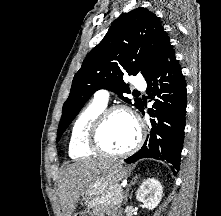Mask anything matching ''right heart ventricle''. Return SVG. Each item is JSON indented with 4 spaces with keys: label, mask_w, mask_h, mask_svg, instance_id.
Returning <instances> with one entry per match:
<instances>
[{
    "label": "right heart ventricle",
    "mask_w": 221,
    "mask_h": 216,
    "mask_svg": "<svg viewBox=\"0 0 221 216\" xmlns=\"http://www.w3.org/2000/svg\"><path fill=\"white\" fill-rule=\"evenodd\" d=\"M106 108V104L93 100L76 117L69 135L68 153L72 158L94 155L87 145V131L95 118Z\"/></svg>",
    "instance_id": "e07e8e85"
}]
</instances>
